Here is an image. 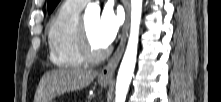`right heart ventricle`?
<instances>
[{
    "label": "right heart ventricle",
    "instance_id": "right-heart-ventricle-1",
    "mask_svg": "<svg viewBox=\"0 0 221 102\" xmlns=\"http://www.w3.org/2000/svg\"><path fill=\"white\" fill-rule=\"evenodd\" d=\"M82 7V4L73 0L64 1L49 24V57L58 67L74 68L85 63L78 44Z\"/></svg>",
    "mask_w": 221,
    "mask_h": 102
}]
</instances>
